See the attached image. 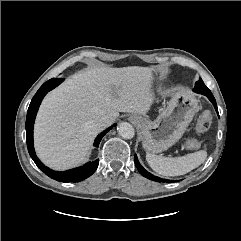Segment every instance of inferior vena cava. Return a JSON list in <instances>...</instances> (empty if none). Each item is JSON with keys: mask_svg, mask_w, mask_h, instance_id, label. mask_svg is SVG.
Here are the masks:
<instances>
[{"mask_svg": "<svg viewBox=\"0 0 241 241\" xmlns=\"http://www.w3.org/2000/svg\"><path fill=\"white\" fill-rule=\"evenodd\" d=\"M110 124V119L107 116H101L94 121V126L98 129H103Z\"/></svg>", "mask_w": 241, "mask_h": 241, "instance_id": "602c4592", "label": "inferior vena cava"}]
</instances>
